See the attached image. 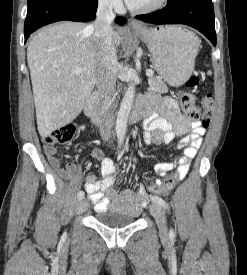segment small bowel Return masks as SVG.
Wrapping results in <instances>:
<instances>
[{"label": "small bowel", "instance_id": "c3829d8e", "mask_svg": "<svg viewBox=\"0 0 247 275\" xmlns=\"http://www.w3.org/2000/svg\"><path fill=\"white\" fill-rule=\"evenodd\" d=\"M143 104L149 112L143 133L145 143L170 144L176 137H181L178 148L184 149V155L173 162L158 163L155 167L157 173L166 176L176 169L177 178L183 179L189 170L191 160L198 153L206 128L200 120L187 118L177 102L171 98L147 95ZM44 151L50 165L60 177L73 182L79 181L80 169L76 164L67 162L63 165L54 146L46 145ZM92 157L100 161L101 179L93 174L87 175L85 190L96 212L118 211L139 214L149 200L146 187L140 185L135 192L130 189L115 190L116 169L113 161L105 157L99 149L92 152Z\"/></svg>", "mask_w": 247, "mask_h": 275}]
</instances>
